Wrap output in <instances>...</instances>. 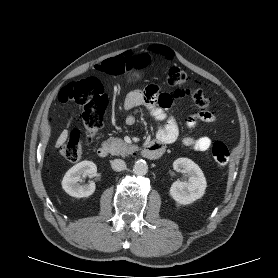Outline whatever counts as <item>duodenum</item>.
Here are the masks:
<instances>
[{"mask_svg":"<svg viewBox=\"0 0 278 278\" xmlns=\"http://www.w3.org/2000/svg\"><path fill=\"white\" fill-rule=\"evenodd\" d=\"M141 153L147 159H159L164 153V145L159 142H150L142 148ZM97 155L100 158H107L110 155V148L107 145H101L97 149Z\"/></svg>","mask_w":278,"mask_h":278,"instance_id":"1","label":"duodenum"}]
</instances>
